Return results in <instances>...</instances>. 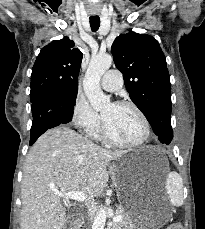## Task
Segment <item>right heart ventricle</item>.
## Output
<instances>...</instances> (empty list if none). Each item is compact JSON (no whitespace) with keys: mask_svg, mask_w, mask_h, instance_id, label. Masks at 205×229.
<instances>
[{"mask_svg":"<svg viewBox=\"0 0 205 229\" xmlns=\"http://www.w3.org/2000/svg\"><path fill=\"white\" fill-rule=\"evenodd\" d=\"M94 138H101V129L100 127H97L94 131L89 133Z\"/></svg>","mask_w":205,"mask_h":229,"instance_id":"1","label":"right heart ventricle"}]
</instances>
